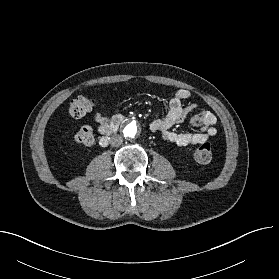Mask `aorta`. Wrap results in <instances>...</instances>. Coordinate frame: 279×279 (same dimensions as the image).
<instances>
[{"label": "aorta", "mask_w": 279, "mask_h": 279, "mask_svg": "<svg viewBox=\"0 0 279 279\" xmlns=\"http://www.w3.org/2000/svg\"><path fill=\"white\" fill-rule=\"evenodd\" d=\"M122 133L126 138H134L139 133V125L136 121L129 120L122 126Z\"/></svg>", "instance_id": "1"}]
</instances>
